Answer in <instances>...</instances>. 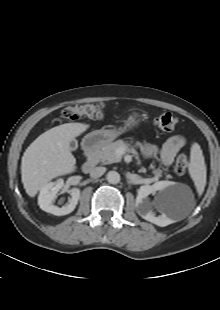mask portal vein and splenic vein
<instances>
[{"label":"portal vein and splenic vein","instance_id":"1","mask_svg":"<svg viewBox=\"0 0 220 310\" xmlns=\"http://www.w3.org/2000/svg\"><path fill=\"white\" fill-rule=\"evenodd\" d=\"M116 153H117L118 155H122V154L124 153V150H123L122 148H119V149L116 151Z\"/></svg>","mask_w":220,"mask_h":310}]
</instances>
